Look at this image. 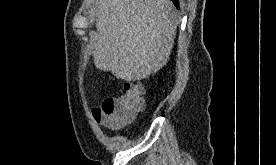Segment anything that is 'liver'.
<instances>
[{
	"label": "liver",
	"instance_id": "1",
	"mask_svg": "<svg viewBox=\"0 0 276 165\" xmlns=\"http://www.w3.org/2000/svg\"><path fill=\"white\" fill-rule=\"evenodd\" d=\"M170 0H99L90 36L94 64L125 81L148 78L166 65L179 21Z\"/></svg>",
	"mask_w": 276,
	"mask_h": 165
}]
</instances>
